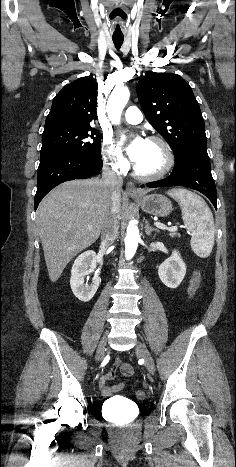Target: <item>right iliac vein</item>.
Returning a JSON list of instances; mask_svg holds the SVG:
<instances>
[{
	"instance_id": "1",
	"label": "right iliac vein",
	"mask_w": 236,
	"mask_h": 467,
	"mask_svg": "<svg viewBox=\"0 0 236 467\" xmlns=\"http://www.w3.org/2000/svg\"><path fill=\"white\" fill-rule=\"evenodd\" d=\"M106 351V337H103L96 354V360L99 362L103 359Z\"/></svg>"
}]
</instances>
